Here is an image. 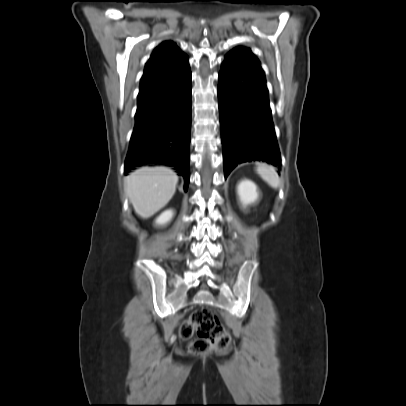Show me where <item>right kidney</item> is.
<instances>
[{
	"label": "right kidney",
	"mask_w": 406,
	"mask_h": 406,
	"mask_svg": "<svg viewBox=\"0 0 406 406\" xmlns=\"http://www.w3.org/2000/svg\"><path fill=\"white\" fill-rule=\"evenodd\" d=\"M174 216L173 210L169 209L162 212L155 220L156 225L163 226L170 222Z\"/></svg>",
	"instance_id": "ca27d5eb"
}]
</instances>
